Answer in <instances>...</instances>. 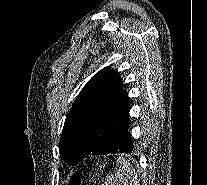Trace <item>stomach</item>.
Here are the masks:
<instances>
[{
	"label": "stomach",
	"instance_id": "1",
	"mask_svg": "<svg viewBox=\"0 0 207 185\" xmlns=\"http://www.w3.org/2000/svg\"><path fill=\"white\" fill-rule=\"evenodd\" d=\"M81 177L79 172H76L74 175H72L65 185H80L81 184Z\"/></svg>",
	"mask_w": 207,
	"mask_h": 185
}]
</instances>
